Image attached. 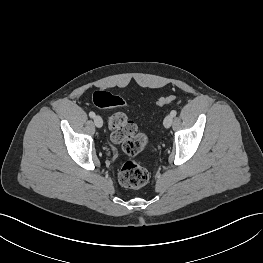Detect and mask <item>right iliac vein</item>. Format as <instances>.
Masks as SVG:
<instances>
[{
    "label": "right iliac vein",
    "instance_id": "1",
    "mask_svg": "<svg viewBox=\"0 0 263 263\" xmlns=\"http://www.w3.org/2000/svg\"><path fill=\"white\" fill-rule=\"evenodd\" d=\"M94 124L96 125V127L101 128L103 126V120L100 116H95L94 117Z\"/></svg>",
    "mask_w": 263,
    "mask_h": 263
}]
</instances>
